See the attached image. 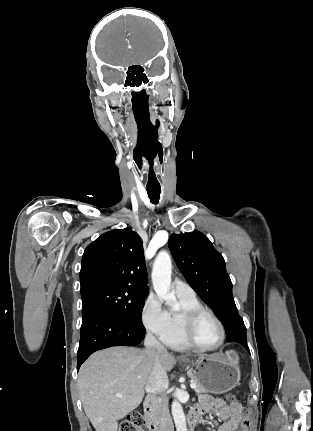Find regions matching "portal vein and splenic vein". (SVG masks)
<instances>
[{
    "label": "portal vein and splenic vein",
    "instance_id": "18ae733b",
    "mask_svg": "<svg viewBox=\"0 0 313 431\" xmlns=\"http://www.w3.org/2000/svg\"><path fill=\"white\" fill-rule=\"evenodd\" d=\"M190 387H191L192 389H195V388H196V384H195V383H193V382H191ZM118 396H119V395H118ZM119 397H121V396H119Z\"/></svg>",
    "mask_w": 313,
    "mask_h": 431
}]
</instances>
